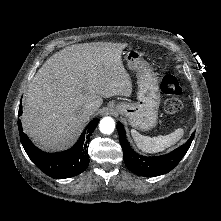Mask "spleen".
<instances>
[{"mask_svg":"<svg viewBox=\"0 0 221 221\" xmlns=\"http://www.w3.org/2000/svg\"><path fill=\"white\" fill-rule=\"evenodd\" d=\"M132 137L139 149L146 153H156L175 144L184 134L183 129L178 128L168 135H160L157 137H148L141 135L136 130H131Z\"/></svg>","mask_w":221,"mask_h":221,"instance_id":"spleen-1","label":"spleen"}]
</instances>
